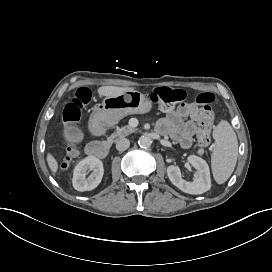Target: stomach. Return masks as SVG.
I'll use <instances>...</instances> for the list:
<instances>
[{"instance_id":"1","label":"stomach","mask_w":272,"mask_h":272,"mask_svg":"<svg viewBox=\"0 0 272 272\" xmlns=\"http://www.w3.org/2000/svg\"><path fill=\"white\" fill-rule=\"evenodd\" d=\"M102 106L118 118H122L129 114L148 112L151 108V101L141 92L127 89L121 94L106 96L102 101Z\"/></svg>"}]
</instances>
